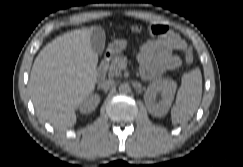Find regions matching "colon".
<instances>
[{
    "label": "colon",
    "mask_w": 243,
    "mask_h": 167,
    "mask_svg": "<svg viewBox=\"0 0 243 167\" xmlns=\"http://www.w3.org/2000/svg\"><path fill=\"white\" fill-rule=\"evenodd\" d=\"M168 27L160 22L148 23L146 25H133L131 32L139 36H153L162 35L166 33ZM183 56L185 64L191 66L193 64V55L189 47L185 46L183 49Z\"/></svg>",
    "instance_id": "1"
}]
</instances>
